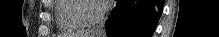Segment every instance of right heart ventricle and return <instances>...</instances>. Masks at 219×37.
Segmentation results:
<instances>
[{"instance_id":"right-heart-ventricle-1","label":"right heart ventricle","mask_w":219,"mask_h":37,"mask_svg":"<svg viewBox=\"0 0 219 37\" xmlns=\"http://www.w3.org/2000/svg\"><path fill=\"white\" fill-rule=\"evenodd\" d=\"M82 0H57L55 14L57 25L62 31L83 29L86 22L80 14Z\"/></svg>"}]
</instances>
